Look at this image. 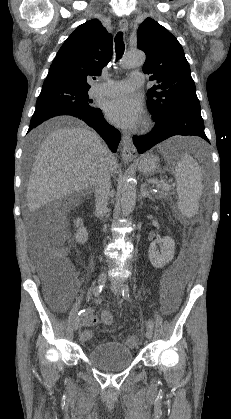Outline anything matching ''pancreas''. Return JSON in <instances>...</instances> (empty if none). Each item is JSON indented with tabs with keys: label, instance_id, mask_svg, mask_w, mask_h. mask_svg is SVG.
Wrapping results in <instances>:
<instances>
[{
	"label": "pancreas",
	"instance_id": "1",
	"mask_svg": "<svg viewBox=\"0 0 231 419\" xmlns=\"http://www.w3.org/2000/svg\"><path fill=\"white\" fill-rule=\"evenodd\" d=\"M168 192H167V190L166 189H163L162 190V192H160V195H159V197H157V198H160V197H165V198H167L168 197Z\"/></svg>",
	"mask_w": 231,
	"mask_h": 419
}]
</instances>
